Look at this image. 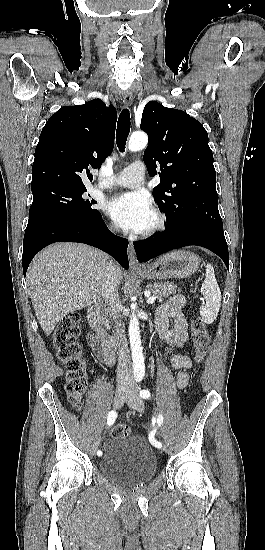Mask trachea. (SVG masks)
<instances>
[{
    "label": "trachea",
    "instance_id": "3493384b",
    "mask_svg": "<svg viewBox=\"0 0 265 550\" xmlns=\"http://www.w3.org/2000/svg\"><path fill=\"white\" fill-rule=\"evenodd\" d=\"M130 132V112L129 110L123 109L119 115L117 123V134L116 142L119 150L124 152L126 141Z\"/></svg>",
    "mask_w": 265,
    "mask_h": 550
}]
</instances>
